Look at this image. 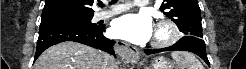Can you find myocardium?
<instances>
[{
    "mask_svg": "<svg viewBox=\"0 0 246 69\" xmlns=\"http://www.w3.org/2000/svg\"><path fill=\"white\" fill-rule=\"evenodd\" d=\"M177 25L171 19H162L156 25V31L152 46L156 48L166 47L179 39Z\"/></svg>",
    "mask_w": 246,
    "mask_h": 69,
    "instance_id": "obj_1",
    "label": "myocardium"
}]
</instances>
